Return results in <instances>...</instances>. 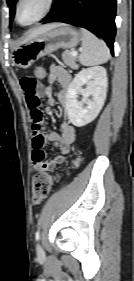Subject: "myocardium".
<instances>
[{
	"label": "myocardium",
	"mask_w": 134,
	"mask_h": 281,
	"mask_svg": "<svg viewBox=\"0 0 134 281\" xmlns=\"http://www.w3.org/2000/svg\"><path fill=\"white\" fill-rule=\"evenodd\" d=\"M23 1L24 0H18L15 5V21L19 25L24 26V27H29V26L35 25L38 22H40L42 19H44L52 11V9L54 8L55 2H56L55 0H46L45 8L41 12V14L36 19L31 21L30 23L23 24L19 20V8H20L21 4L23 3Z\"/></svg>",
	"instance_id": "f54148a6"
}]
</instances>
